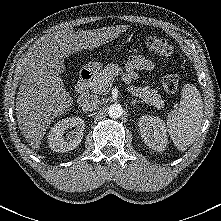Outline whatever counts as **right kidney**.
<instances>
[{
  "instance_id": "1",
  "label": "right kidney",
  "mask_w": 221,
  "mask_h": 221,
  "mask_svg": "<svg viewBox=\"0 0 221 221\" xmlns=\"http://www.w3.org/2000/svg\"><path fill=\"white\" fill-rule=\"evenodd\" d=\"M75 129L67 133L66 138L64 137L65 132L68 129ZM85 129V123L82 118L69 117L60 120L50 129L48 135V143L51 150L54 152H68L75 149L83 138V132Z\"/></svg>"
}]
</instances>
